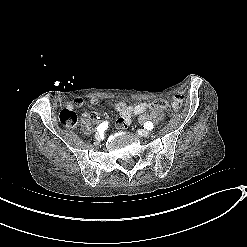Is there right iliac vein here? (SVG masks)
<instances>
[{
	"label": "right iliac vein",
	"instance_id": "obj_1",
	"mask_svg": "<svg viewBox=\"0 0 247 247\" xmlns=\"http://www.w3.org/2000/svg\"><path fill=\"white\" fill-rule=\"evenodd\" d=\"M95 138H96L97 140H101V139H102L101 133H96V134H95Z\"/></svg>",
	"mask_w": 247,
	"mask_h": 247
}]
</instances>
